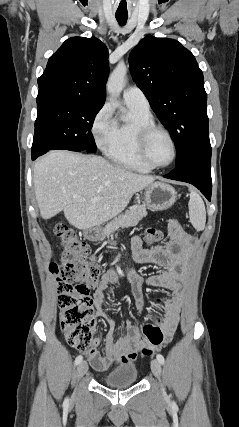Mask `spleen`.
<instances>
[{"label":"spleen","instance_id":"1","mask_svg":"<svg viewBox=\"0 0 239 427\" xmlns=\"http://www.w3.org/2000/svg\"><path fill=\"white\" fill-rule=\"evenodd\" d=\"M190 191V200H189V216L190 222L197 231H202L205 228L206 223V210L202 198L199 194L193 189Z\"/></svg>","mask_w":239,"mask_h":427}]
</instances>
